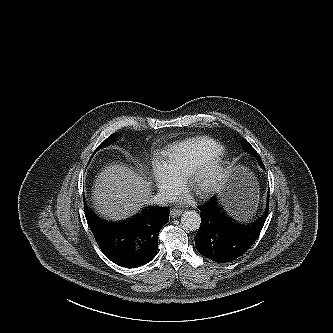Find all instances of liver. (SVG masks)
Returning a JSON list of instances; mask_svg holds the SVG:
<instances>
[{"mask_svg": "<svg viewBox=\"0 0 333 333\" xmlns=\"http://www.w3.org/2000/svg\"><path fill=\"white\" fill-rule=\"evenodd\" d=\"M151 181L121 163L106 166L97 176L93 201L97 212L111 220L125 219L151 202Z\"/></svg>", "mask_w": 333, "mask_h": 333, "instance_id": "1", "label": "liver"}]
</instances>
